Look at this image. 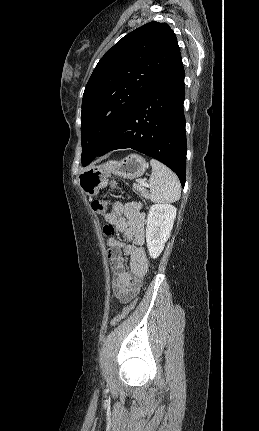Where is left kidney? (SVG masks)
<instances>
[{"instance_id": "5707ae66", "label": "left kidney", "mask_w": 259, "mask_h": 431, "mask_svg": "<svg viewBox=\"0 0 259 431\" xmlns=\"http://www.w3.org/2000/svg\"><path fill=\"white\" fill-rule=\"evenodd\" d=\"M176 208L170 204H153L147 216L146 242L151 258H157L164 249L173 228Z\"/></svg>"}]
</instances>
